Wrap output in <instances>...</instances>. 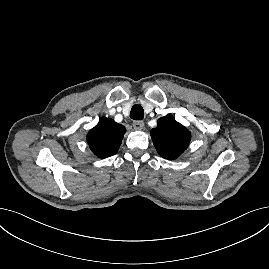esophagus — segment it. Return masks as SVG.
Masks as SVG:
<instances>
[{
    "instance_id": "1",
    "label": "esophagus",
    "mask_w": 269,
    "mask_h": 269,
    "mask_svg": "<svg viewBox=\"0 0 269 269\" xmlns=\"http://www.w3.org/2000/svg\"><path fill=\"white\" fill-rule=\"evenodd\" d=\"M145 124L143 121H134L133 122V127L136 130H142L144 128Z\"/></svg>"
}]
</instances>
